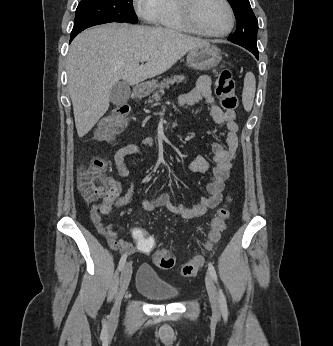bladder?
I'll use <instances>...</instances> for the list:
<instances>
[{
  "mask_svg": "<svg viewBox=\"0 0 333 346\" xmlns=\"http://www.w3.org/2000/svg\"><path fill=\"white\" fill-rule=\"evenodd\" d=\"M135 288L138 292L156 302H170L179 296V291L167 283L149 265L139 267Z\"/></svg>",
  "mask_w": 333,
  "mask_h": 346,
  "instance_id": "31cf9c89",
  "label": "bladder"
}]
</instances>
